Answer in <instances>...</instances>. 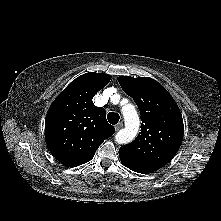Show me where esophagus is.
<instances>
[{"label":"esophagus","mask_w":221,"mask_h":221,"mask_svg":"<svg viewBox=\"0 0 221 221\" xmlns=\"http://www.w3.org/2000/svg\"><path fill=\"white\" fill-rule=\"evenodd\" d=\"M123 127V123L119 122L118 124L115 125L116 131H119Z\"/></svg>","instance_id":"34e87169"}]
</instances>
